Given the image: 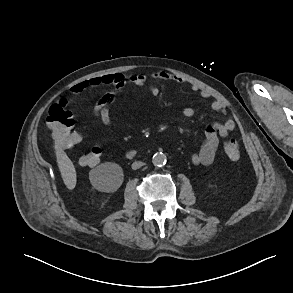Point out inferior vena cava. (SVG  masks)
I'll return each mask as SVG.
<instances>
[{
  "label": "inferior vena cava",
  "instance_id": "602c4592",
  "mask_svg": "<svg viewBox=\"0 0 293 293\" xmlns=\"http://www.w3.org/2000/svg\"><path fill=\"white\" fill-rule=\"evenodd\" d=\"M144 165V163L143 162H141V161H135V162H133V164H132V169L133 170H136V169H139L141 166H143Z\"/></svg>",
  "mask_w": 293,
  "mask_h": 293
}]
</instances>
